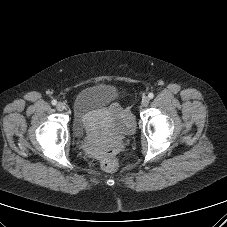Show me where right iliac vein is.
Masks as SVG:
<instances>
[{
    "label": "right iliac vein",
    "mask_w": 227,
    "mask_h": 227,
    "mask_svg": "<svg viewBox=\"0 0 227 227\" xmlns=\"http://www.w3.org/2000/svg\"><path fill=\"white\" fill-rule=\"evenodd\" d=\"M56 109L58 111H63L65 109V106L62 102H59L57 105H56Z\"/></svg>",
    "instance_id": "obj_1"
}]
</instances>
